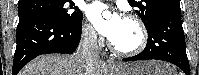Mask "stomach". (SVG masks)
I'll use <instances>...</instances> for the list:
<instances>
[{"label":"stomach","instance_id":"obj_1","mask_svg":"<svg viewBox=\"0 0 199 75\" xmlns=\"http://www.w3.org/2000/svg\"><path fill=\"white\" fill-rule=\"evenodd\" d=\"M169 64L157 61H139L121 65L115 75H172Z\"/></svg>","mask_w":199,"mask_h":75}]
</instances>
